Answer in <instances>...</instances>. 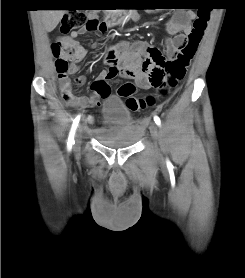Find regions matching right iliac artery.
Wrapping results in <instances>:
<instances>
[{
    "label": "right iliac artery",
    "mask_w": 245,
    "mask_h": 278,
    "mask_svg": "<svg viewBox=\"0 0 245 278\" xmlns=\"http://www.w3.org/2000/svg\"><path fill=\"white\" fill-rule=\"evenodd\" d=\"M79 120H80V116H77L73 121L72 128H71V131H70V134H69V137H68V141H67L68 151H70L72 149V145L75 143L74 135H75V131H76V128L78 126Z\"/></svg>",
    "instance_id": "1"
}]
</instances>
